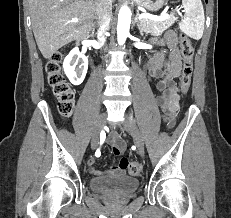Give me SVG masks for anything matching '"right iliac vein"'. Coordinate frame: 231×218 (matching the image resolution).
Segmentation results:
<instances>
[{
	"instance_id": "right-iliac-vein-1",
	"label": "right iliac vein",
	"mask_w": 231,
	"mask_h": 218,
	"mask_svg": "<svg viewBox=\"0 0 231 218\" xmlns=\"http://www.w3.org/2000/svg\"><path fill=\"white\" fill-rule=\"evenodd\" d=\"M106 123V114L103 113L100 115L96 127H95V131L93 133L92 136V140H91V148L92 150L96 149L97 145H98V141H99V136L101 131L103 130L104 126Z\"/></svg>"
}]
</instances>
